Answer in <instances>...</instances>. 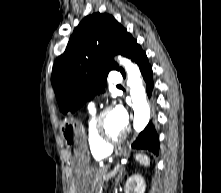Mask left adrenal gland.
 <instances>
[{
  "instance_id": "a2214340",
  "label": "left adrenal gland",
  "mask_w": 221,
  "mask_h": 193,
  "mask_svg": "<svg viewBox=\"0 0 221 193\" xmlns=\"http://www.w3.org/2000/svg\"><path fill=\"white\" fill-rule=\"evenodd\" d=\"M117 172H118V174H117V177H116V180H115V185H117L119 183V180L122 178L123 173H126L124 167H121L120 169H118Z\"/></svg>"
}]
</instances>
